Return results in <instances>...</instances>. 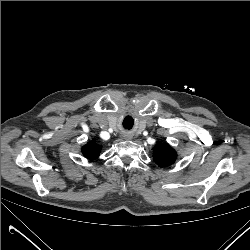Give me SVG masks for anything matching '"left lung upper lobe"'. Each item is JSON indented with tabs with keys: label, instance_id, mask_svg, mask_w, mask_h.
<instances>
[{
	"label": "left lung upper lobe",
	"instance_id": "5c2ea615",
	"mask_svg": "<svg viewBox=\"0 0 250 250\" xmlns=\"http://www.w3.org/2000/svg\"><path fill=\"white\" fill-rule=\"evenodd\" d=\"M176 151L167 143H161L154 147L153 159L160 167H167L176 161Z\"/></svg>",
	"mask_w": 250,
	"mask_h": 250
}]
</instances>
